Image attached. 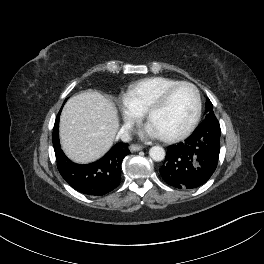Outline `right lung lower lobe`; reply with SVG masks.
<instances>
[{
    "mask_svg": "<svg viewBox=\"0 0 264 264\" xmlns=\"http://www.w3.org/2000/svg\"><path fill=\"white\" fill-rule=\"evenodd\" d=\"M59 117L60 112L55 121L52 139L57 167L64 180L75 190L87 195L101 196L115 189L120 183L122 161L130 153L128 144L117 143L94 163L75 164L65 156L60 147Z\"/></svg>",
    "mask_w": 264,
    "mask_h": 264,
    "instance_id": "98d812e1",
    "label": "right lung lower lobe"
}]
</instances>
